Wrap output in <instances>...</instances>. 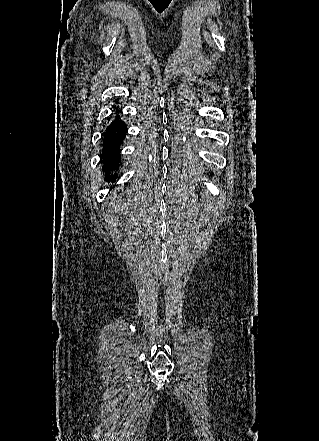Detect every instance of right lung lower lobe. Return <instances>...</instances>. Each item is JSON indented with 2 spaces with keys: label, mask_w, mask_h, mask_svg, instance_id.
<instances>
[{
  "label": "right lung lower lobe",
  "mask_w": 319,
  "mask_h": 441,
  "mask_svg": "<svg viewBox=\"0 0 319 441\" xmlns=\"http://www.w3.org/2000/svg\"><path fill=\"white\" fill-rule=\"evenodd\" d=\"M128 131L127 125L116 115L103 134V171L118 170L120 165V146ZM115 176H117L115 174ZM113 179V178H112Z\"/></svg>",
  "instance_id": "obj_1"
}]
</instances>
